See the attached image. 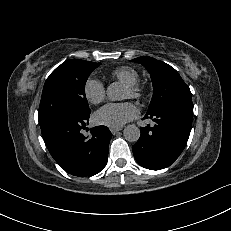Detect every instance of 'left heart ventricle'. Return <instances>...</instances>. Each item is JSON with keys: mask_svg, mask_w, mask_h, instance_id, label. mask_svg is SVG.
<instances>
[{"mask_svg": "<svg viewBox=\"0 0 231 231\" xmlns=\"http://www.w3.org/2000/svg\"><path fill=\"white\" fill-rule=\"evenodd\" d=\"M124 97H125V98L130 97V92H129V90H128L127 88L125 89Z\"/></svg>", "mask_w": 231, "mask_h": 231, "instance_id": "1", "label": "left heart ventricle"}]
</instances>
